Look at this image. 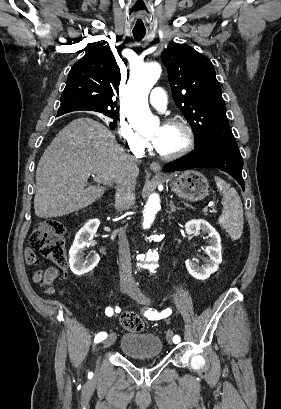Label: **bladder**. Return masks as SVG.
Returning <instances> with one entry per match:
<instances>
[{
	"label": "bladder",
	"mask_w": 281,
	"mask_h": 409,
	"mask_svg": "<svg viewBox=\"0 0 281 409\" xmlns=\"http://www.w3.org/2000/svg\"><path fill=\"white\" fill-rule=\"evenodd\" d=\"M118 348L122 354L132 360H145L146 355H155L156 359L164 356L162 338L153 332H132L125 330V334L118 339Z\"/></svg>",
	"instance_id": "31cf9c89"
}]
</instances>
